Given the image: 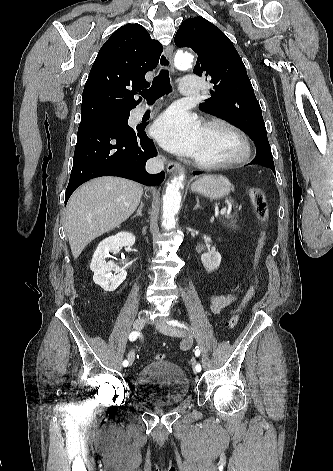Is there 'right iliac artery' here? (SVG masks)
Here are the masks:
<instances>
[{
	"label": "right iliac artery",
	"instance_id": "right-iliac-artery-1",
	"mask_svg": "<svg viewBox=\"0 0 333 471\" xmlns=\"http://www.w3.org/2000/svg\"><path fill=\"white\" fill-rule=\"evenodd\" d=\"M137 336H138V332L133 331V332H131L130 335H129V340H130V341H135V340L137 339ZM128 364H129V361H128V360H124V361H123V366H124V367L128 366Z\"/></svg>",
	"mask_w": 333,
	"mask_h": 471
}]
</instances>
